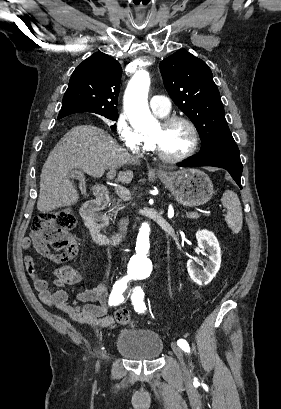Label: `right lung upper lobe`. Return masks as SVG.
<instances>
[{
  "label": "right lung upper lobe",
  "mask_w": 281,
  "mask_h": 409,
  "mask_svg": "<svg viewBox=\"0 0 281 409\" xmlns=\"http://www.w3.org/2000/svg\"><path fill=\"white\" fill-rule=\"evenodd\" d=\"M121 73L120 64L102 52L84 60L71 75L58 119L80 112L118 113Z\"/></svg>",
  "instance_id": "obj_1"
}]
</instances>
